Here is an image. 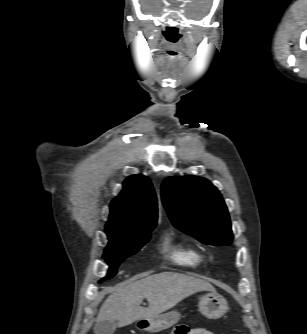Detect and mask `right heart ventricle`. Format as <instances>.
<instances>
[{
  "label": "right heart ventricle",
  "instance_id": "1",
  "mask_svg": "<svg viewBox=\"0 0 307 334\" xmlns=\"http://www.w3.org/2000/svg\"><path fill=\"white\" fill-rule=\"evenodd\" d=\"M162 249L166 258L173 264L184 268H198L203 257L198 248L187 239H177L172 232L162 238Z\"/></svg>",
  "mask_w": 307,
  "mask_h": 334
}]
</instances>
